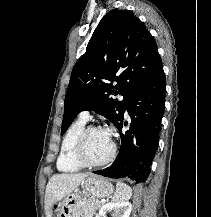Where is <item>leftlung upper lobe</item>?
Segmentation results:
<instances>
[{
  "label": "left lung upper lobe",
  "mask_w": 211,
  "mask_h": 217,
  "mask_svg": "<svg viewBox=\"0 0 211 217\" xmlns=\"http://www.w3.org/2000/svg\"><path fill=\"white\" fill-rule=\"evenodd\" d=\"M161 66L155 40L145 25L129 10L109 11L73 67L61 134L83 110H94L116 126L133 91ZM118 94L122 101L110 98Z\"/></svg>",
  "instance_id": "5c2ea615"
}]
</instances>
